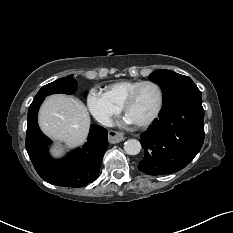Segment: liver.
<instances>
[{
	"label": "liver",
	"instance_id": "1",
	"mask_svg": "<svg viewBox=\"0 0 233 233\" xmlns=\"http://www.w3.org/2000/svg\"><path fill=\"white\" fill-rule=\"evenodd\" d=\"M38 121L44 134L64 143L67 148L82 145L90 126V116L85 105L64 94H54L46 98L40 108ZM51 153L60 157L64 154V149L54 147Z\"/></svg>",
	"mask_w": 233,
	"mask_h": 233
}]
</instances>
